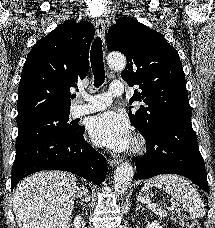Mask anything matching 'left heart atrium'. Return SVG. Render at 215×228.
Returning a JSON list of instances; mask_svg holds the SVG:
<instances>
[{
	"instance_id": "1",
	"label": "left heart atrium",
	"mask_w": 215,
	"mask_h": 228,
	"mask_svg": "<svg viewBox=\"0 0 215 228\" xmlns=\"http://www.w3.org/2000/svg\"><path fill=\"white\" fill-rule=\"evenodd\" d=\"M89 134L95 144L124 151L132 142L129 120L120 113L107 111L92 118Z\"/></svg>"
}]
</instances>
